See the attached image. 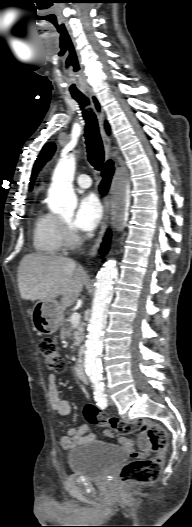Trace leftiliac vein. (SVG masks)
<instances>
[{
    "instance_id": "obj_1",
    "label": "left iliac vein",
    "mask_w": 192,
    "mask_h": 527,
    "mask_svg": "<svg viewBox=\"0 0 192 527\" xmlns=\"http://www.w3.org/2000/svg\"><path fill=\"white\" fill-rule=\"evenodd\" d=\"M107 397H108V403L110 405H113V400L110 398L108 391H106Z\"/></svg>"
}]
</instances>
